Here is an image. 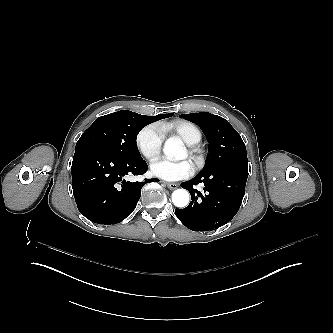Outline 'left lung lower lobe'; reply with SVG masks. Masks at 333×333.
Segmentation results:
<instances>
[{
    "instance_id": "0a47b994",
    "label": "left lung lower lobe",
    "mask_w": 333,
    "mask_h": 333,
    "mask_svg": "<svg viewBox=\"0 0 333 333\" xmlns=\"http://www.w3.org/2000/svg\"><path fill=\"white\" fill-rule=\"evenodd\" d=\"M248 162H233L219 167L209 175H197L181 187L191 194L184 209H176L177 218L190 230L209 231L228 223L238 212L245 194ZM204 183V193L194 189Z\"/></svg>"
}]
</instances>
